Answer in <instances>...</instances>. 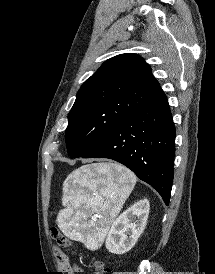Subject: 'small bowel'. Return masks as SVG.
Listing matches in <instances>:
<instances>
[{
    "label": "small bowel",
    "instance_id": "1",
    "mask_svg": "<svg viewBox=\"0 0 215 274\" xmlns=\"http://www.w3.org/2000/svg\"><path fill=\"white\" fill-rule=\"evenodd\" d=\"M57 258H58L60 267L64 271L69 272L70 274H73L79 271V269L76 266L71 265L69 258L60 250L57 251Z\"/></svg>",
    "mask_w": 215,
    "mask_h": 274
}]
</instances>
